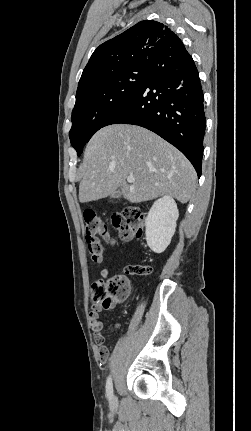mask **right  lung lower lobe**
Here are the masks:
<instances>
[{"mask_svg":"<svg viewBox=\"0 0 251 431\" xmlns=\"http://www.w3.org/2000/svg\"><path fill=\"white\" fill-rule=\"evenodd\" d=\"M195 63L185 47L150 61L140 88L105 122L147 128L179 149L201 176L206 119Z\"/></svg>","mask_w":251,"mask_h":431,"instance_id":"obj_1","label":"right lung lower lobe"}]
</instances>
